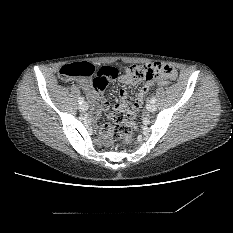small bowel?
<instances>
[{"label":"small bowel","instance_id":"c3829d8e","mask_svg":"<svg viewBox=\"0 0 233 233\" xmlns=\"http://www.w3.org/2000/svg\"><path fill=\"white\" fill-rule=\"evenodd\" d=\"M103 77L99 84H95L96 90H91L90 80L87 78H77L76 82L79 86L92 98L97 100V105L95 107L96 111L100 113H109L111 110H119L124 107L132 106L133 109L137 110L142 104L145 95L148 93L152 84L145 83L141 87L139 93L136 95L133 102L129 103L127 100V91L122 88L119 91V100L116 103H111L105 96L104 90L109 81L116 78L118 74V69L115 67H103ZM170 77L168 76H160L156 79L155 83L157 86H165L168 84ZM120 82L125 86H134L138 84L139 80L129 77L124 74L120 77ZM107 138L104 137V140Z\"/></svg>","mask_w":233,"mask_h":233}]
</instances>
